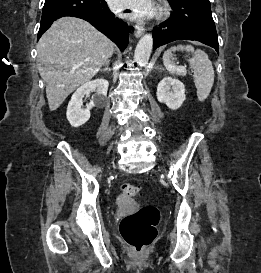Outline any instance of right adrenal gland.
<instances>
[{
    "instance_id": "obj_1",
    "label": "right adrenal gland",
    "mask_w": 261,
    "mask_h": 273,
    "mask_svg": "<svg viewBox=\"0 0 261 273\" xmlns=\"http://www.w3.org/2000/svg\"><path fill=\"white\" fill-rule=\"evenodd\" d=\"M108 66H109V60L104 63L105 68L103 69V71H110V68H108Z\"/></svg>"
}]
</instances>
